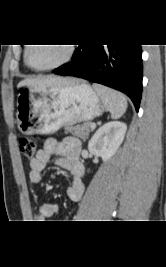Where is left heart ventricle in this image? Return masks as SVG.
<instances>
[{
    "mask_svg": "<svg viewBox=\"0 0 166 267\" xmlns=\"http://www.w3.org/2000/svg\"><path fill=\"white\" fill-rule=\"evenodd\" d=\"M66 55L63 44H34L28 53V61L33 67H47L61 61Z\"/></svg>",
    "mask_w": 166,
    "mask_h": 267,
    "instance_id": "b2bd125f",
    "label": "left heart ventricle"
}]
</instances>
